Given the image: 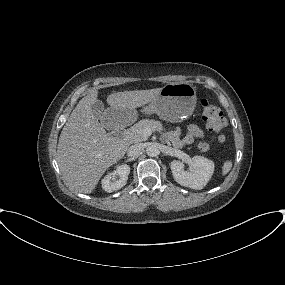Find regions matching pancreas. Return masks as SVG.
I'll use <instances>...</instances> for the list:
<instances>
[{
    "instance_id": "1",
    "label": "pancreas",
    "mask_w": 285,
    "mask_h": 285,
    "mask_svg": "<svg viewBox=\"0 0 285 285\" xmlns=\"http://www.w3.org/2000/svg\"><path fill=\"white\" fill-rule=\"evenodd\" d=\"M145 128H150L153 131H162L163 126L162 123L158 120L154 119H142L136 124H134L131 128L126 130V139L130 143H137L146 141L148 139V136H145L143 133V130Z\"/></svg>"
}]
</instances>
